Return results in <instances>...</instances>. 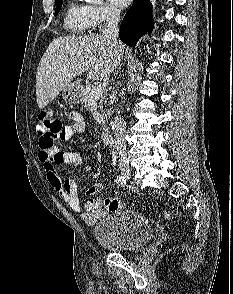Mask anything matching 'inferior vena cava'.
<instances>
[{
  "label": "inferior vena cava",
  "mask_w": 233,
  "mask_h": 294,
  "mask_svg": "<svg viewBox=\"0 0 233 294\" xmlns=\"http://www.w3.org/2000/svg\"><path fill=\"white\" fill-rule=\"evenodd\" d=\"M120 19V10L115 7L109 8L108 19L106 26L102 32L104 38L110 40L114 45L119 46L118 41V23ZM120 61L117 63L115 69L120 68ZM118 74V71H116ZM113 101H115V94L112 95ZM118 125L114 131L115 136V153L120 166L128 165L127 153H126V142H125V122L123 119L117 117Z\"/></svg>",
  "instance_id": "1"
}]
</instances>
